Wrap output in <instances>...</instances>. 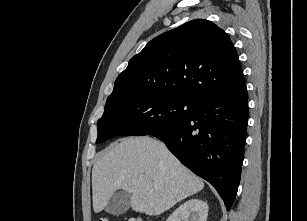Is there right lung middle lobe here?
<instances>
[{"mask_svg":"<svg viewBox=\"0 0 307 221\" xmlns=\"http://www.w3.org/2000/svg\"><path fill=\"white\" fill-rule=\"evenodd\" d=\"M196 103L165 94L125 97L105 105L98 120V138L102 143L112 137L151 135L161 132L191 116Z\"/></svg>","mask_w":307,"mask_h":221,"instance_id":"1","label":"right lung middle lobe"}]
</instances>
